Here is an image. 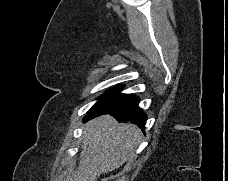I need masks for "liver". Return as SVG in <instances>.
<instances>
[{
    "mask_svg": "<svg viewBox=\"0 0 228 181\" xmlns=\"http://www.w3.org/2000/svg\"><path fill=\"white\" fill-rule=\"evenodd\" d=\"M83 145L75 173L62 171L58 181H97L100 175L116 171L135 157L142 131L131 123H118L111 115H102L83 125Z\"/></svg>",
    "mask_w": 228,
    "mask_h": 181,
    "instance_id": "liver-1",
    "label": "liver"
}]
</instances>
